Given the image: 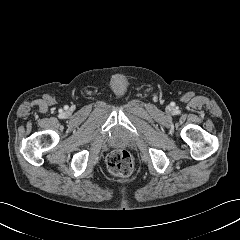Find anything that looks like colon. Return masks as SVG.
<instances>
[{
	"mask_svg": "<svg viewBox=\"0 0 240 240\" xmlns=\"http://www.w3.org/2000/svg\"><path fill=\"white\" fill-rule=\"evenodd\" d=\"M109 171L116 176H129L134 170L131 154L125 149H115L107 157Z\"/></svg>",
	"mask_w": 240,
	"mask_h": 240,
	"instance_id": "obj_1",
	"label": "colon"
}]
</instances>
